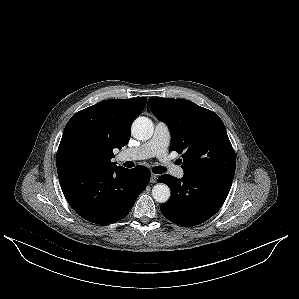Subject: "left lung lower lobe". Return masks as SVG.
<instances>
[{
  "mask_svg": "<svg viewBox=\"0 0 299 299\" xmlns=\"http://www.w3.org/2000/svg\"><path fill=\"white\" fill-rule=\"evenodd\" d=\"M230 174L184 173L180 180L162 175L159 182L172 191L170 200L160 206L162 214L182 226H194L211 218L223 205L233 182Z\"/></svg>",
  "mask_w": 299,
  "mask_h": 299,
  "instance_id": "1",
  "label": "left lung lower lobe"
}]
</instances>
